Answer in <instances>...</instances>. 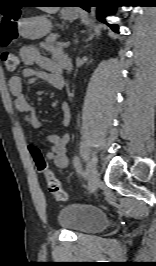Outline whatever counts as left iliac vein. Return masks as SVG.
Returning <instances> with one entry per match:
<instances>
[{
	"label": "left iliac vein",
	"instance_id": "4c4485c4",
	"mask_svg": "<svg viewBox=\"0 0 156 266\" xmlns=\"http://www.w3.org/2000/svg\"><path fill=\"white\" fill-rule=\"evenodd\" d=\"M86 175L88 178L90 191L94 192L98 188L100 178L98 171L92 162H89L86 166Z\"/></svg>",
	"mask_w": 156,
	"mask_h": 266
}]
</instances>
